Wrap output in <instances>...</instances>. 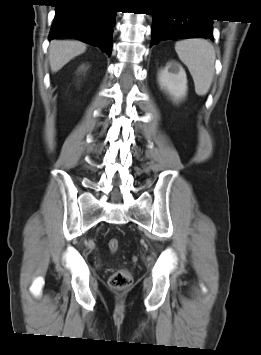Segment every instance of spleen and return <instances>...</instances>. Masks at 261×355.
<instances>
[{"mask_svg":"<svg viewBox=\"0 0 261 355\" xmlns=\"http://www.w3.org/2000/svg\"><path fill=\"white\" fill-rule=\"evenodd\" d=\"M175 50L179 59L188 67L199 96L208 93L215 72V50L204 39L178 41Z\"/></svg>","mask_w":261,"mask_h":355,"instance_id":"3e777b00","label":"spleen"}]
</instances>
